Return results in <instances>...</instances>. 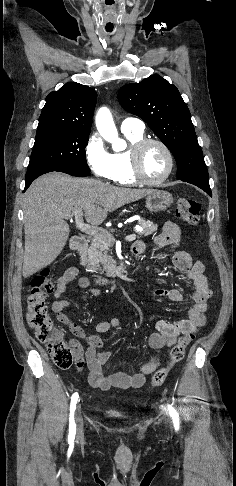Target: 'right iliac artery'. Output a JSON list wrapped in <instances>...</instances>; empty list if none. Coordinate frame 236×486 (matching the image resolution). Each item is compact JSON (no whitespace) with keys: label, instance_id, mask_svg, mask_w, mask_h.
I'll return each mask as SVG.
<instances>
[{"label":"right iliac artery","instance_id":"82829eb1","mask_svg":"<svg viewBox=\"0 0 236 486\" xmlns=\"http://www.w3.org/2000/svg\"><path fill=\"white\" fill-rule=\"evenodd\" d=\"M78 401V393H74L71 397V404H70V417H69V435L68 439L70 442L74 441L75 434H76V424L74 421V412L76 409V404Z\"/></svg>","mask_w":236,"mask_h":486}]
</instances>
